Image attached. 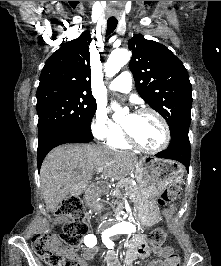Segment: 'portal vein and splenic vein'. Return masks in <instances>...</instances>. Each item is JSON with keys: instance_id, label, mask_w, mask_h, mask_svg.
<instances>
[{"instance_id": "portal-vein-and-splenic-vein-1", "label": "portal vein and splenic vein", "mask_w": 221, "mask_h": 266, "mask_svg": "<svg viewBox=\"0 0 221 266\" xmlns=\"http://www.w3.org/2000/svg\"><path fill=\"white\" fill-rule=\"evenodd\" d=\"M103 170H104V167H98V168H97V172H98V173L102 172Z\"/></svg>"}]
</instances>
